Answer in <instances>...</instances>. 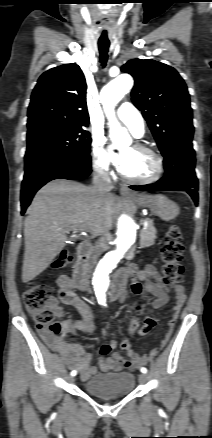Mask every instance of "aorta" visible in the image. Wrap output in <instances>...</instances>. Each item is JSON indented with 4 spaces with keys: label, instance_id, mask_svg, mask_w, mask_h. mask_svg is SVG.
<instances>
[{
    "label": "aorta",
    "instance_id": "1",
    "mask_svg": "<svg viewBox=\"0 0 212 438\" xmlns=\"http://www.w3.org/2000/svg\"><path fill=\"white\" fill-rule=\"evenodd\" d=\"M133 86V79L128 74H121L109 82L100 92V100L110 125V136L115 142L116 135L124 129L115 118V105L127 94ZM137 238L136 224L131 216L123 214L117 221L116 249L108 252L90 273V284L98 302L106 304L110 286V274L125 257Z\"/></svg>",
    "mask_w": 212,
    "mask_h": 438
}]
</instances>
